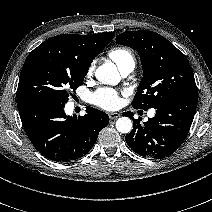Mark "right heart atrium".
Returning a JSON list of instances; mask_svg holds the SVG:
<instances>
[{
    "label": "right heart atrium",
    "instance_id": "1",
    "mask_svg": "<svg viewBox=\"0 0 212 212\" xmlns=\"http://www.w3.org/2000/svg\"><path fill=\"white\" fill-rule=\"evenodd\" d=\"M93 70H94V64L92 63V64L88 67L87 75H88V76L91 75L92 72H93Z\"/></svg>",
    "mask_w": 212,
    "mask_h": 212
}]
</instances>
